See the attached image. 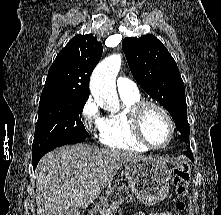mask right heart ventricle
Returning a JSON list of instances; mask_svg holds the SVG:
<instances>
[{
	"mask_svg": "<svg viewBox=\"0 0 221 215\" xmlns=\"http://www.w3.org/2000/svg\"><path fill=\"white\" fill-rule=\"evenodd\" d=\"M120 97L123 108L121 111L110 113L105 119L100 141L112 148L132 152H146L149 148L135 137L130 121V108L141 100L140 93H123L120 94Z\"/></svg>",
	"mask_w": 221,
	"mask_h": 215,
	"instance_id": "1",
	"label": "right heart ventricle"
}]
</instances>
